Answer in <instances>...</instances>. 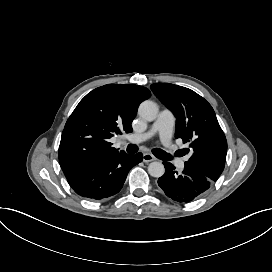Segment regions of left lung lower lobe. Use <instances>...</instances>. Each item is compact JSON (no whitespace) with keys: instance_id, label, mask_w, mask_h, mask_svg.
<instances>
[{"instance_id":"left-lung-lower-lobe-1","label":"left lung lower lobe","mask_w":272,"mask_h":272,"mask_svg":"<svg viewBox=\"0 0 272 272\" xmlns=\"http://www.w3.org/2000/svg\"><path fill=\"white\" fill-rule=\"evenodd\" d=\"M165 173L158 179V185L172 200L179 203L192 202L205 194L213 181L193 169L184 168L182 174L175 171L174 165L163 162Z\"/></svg>"}]
</instances>
